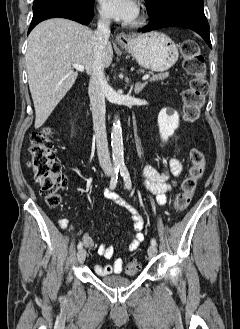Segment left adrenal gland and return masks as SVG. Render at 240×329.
<instances>
[{"label": "left adrenal gland", "mask_w": 240, "mask_h": 329, "mask_svg": "<svg viewBox=\"0 0 240 329\" xmlns=\"http://www.w3.org/2000/svg\"><path fill=\"white\" fill-rule=\"evenodd\" d=\"M145 85H146V82L145 83H140V82L136 83L135 88H134V92L136 94H139L143 90Z\"/></svg>", "instance_id": "1"}]
</instances>
